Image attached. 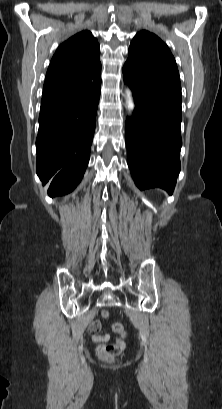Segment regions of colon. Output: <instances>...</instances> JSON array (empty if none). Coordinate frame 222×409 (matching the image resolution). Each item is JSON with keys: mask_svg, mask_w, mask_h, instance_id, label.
Segmentation results:
<instances>
[{"mask_svg": "<svg viewBox=\"0 0 222 409\" xmlns=\"http://www.w3.org/2000/svg\"><path fill=\"white\" fill-rule=\"evenodd\" d=\"M102 316L104 318H107L109 316L108 311L106 310L102 311ZM112 330L116 333L121 334L122 336H125L124 329L122 325L119 323H114L112 325ZM124 349H125L124 340L122 338H118L114 343L99 345L97 351L101 359L105 361H112L117 356H119L124 351Z\"/></svg>", "mask_w": 222, "mask_h": 409, "instance_id": "obj_1", "label": "colon"}]
</instances>
